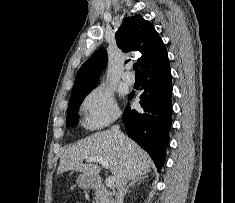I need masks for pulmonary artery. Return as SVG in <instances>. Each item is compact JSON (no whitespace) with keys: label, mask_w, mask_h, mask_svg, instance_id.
I'll return each mask as SVG.
<instances>
[{"label":"pulmonary artery","mask_w":235,"mask_h":203,"mask_svg":"<svg viewBox=\"0 0 235 203\" xmlns=\"http://www.w3.org/2000/svg\"><path fill=\"white\" fill-rule=\"evenodd\" d=\"M130 66L128 65L126 67L125 72L122 75V79L123 81L127 84V85H133L135 82V76L132 74V72L130 71Z\"/></svg>","instance_id":"e3ab8cb5"}]
</instances>
